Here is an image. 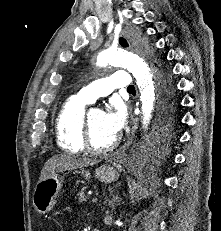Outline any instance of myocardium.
<instances>
[{
    "mask_svg": "<svg viewBox=\"0 0 221 231\" xmlns=\"http://www.w3.org/2000/svg\"><path fill=\"white\" fill-rule=\"evenodd\" d=\"M82 140L86 150L95 154H105L114 150L120 144V137L117 136L108 146L97 147L91 137V127H90V113H87L83 117L82 121Z\"/></svg>",
    "mask_w": 221,
    "mask_h": 231,
    "instance_id": "myocardium-1",
    "label": "myocardium"
}]
</instances>
